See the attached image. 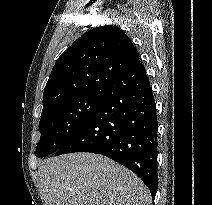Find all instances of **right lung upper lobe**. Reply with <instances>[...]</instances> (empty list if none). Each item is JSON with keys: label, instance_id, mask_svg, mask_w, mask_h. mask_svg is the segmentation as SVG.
Instances as JSON below:
<instances>
[{"label": "right lung upper lobe", "instance_id": "1", "mask_svg": "<svg viewBox=\"0 0 212 205\" xmlns=\"http://www.w3.org/2000/svg\"><path fill=\"white\" fill-rule=\"evenodd\" d=\"M138 62L135 46L119 28L88 31L56 61L44 89L42 114L69 99L100 92Z\"/></svg>", "mask_w": 212, "mask_h": 205}]
</instances>
